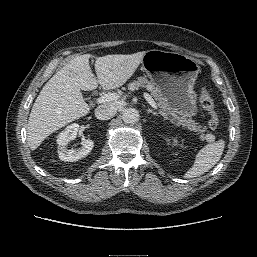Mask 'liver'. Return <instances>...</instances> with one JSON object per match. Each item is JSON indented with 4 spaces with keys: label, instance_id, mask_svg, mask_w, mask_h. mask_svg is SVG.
Listing matches in <instances>:
<instances>
[{
    "label": "liver",
    "instance_id": "6515ba94",
    "mask_svg": "<svg viewBox=\"0 0 257 257\" xmlns=\"http://www.w3.org/2000/svg\"><path fill=\"white\" fill-rule=\"evenodd\" d=\"M145 52L95 57L92 73L88 54L77 56L62 67L42 88L29 115L27 142L37 149L53 132L87 115L90 107L81 90L91 91L100 85L104 90L121 87L134 74ZM110 104V103H106Z\"/></svg>",
    "mask_w": 257,
    "mask_h": 257
}]
</instances>
